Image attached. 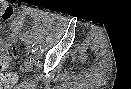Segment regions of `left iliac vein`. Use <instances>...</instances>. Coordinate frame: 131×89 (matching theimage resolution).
<instances>
[{
  "label": "left iliac vein",
  "mask_w": 131,
  "mask_h": 89,
  "mask_svg": "<svg viewBox=\"0 0 131 89\" xmlns=\"http://www.w3.org/2000/svg\"><path fill=\"white\" fill-rule=\"evenodd\" d=\"M37 56H41L42 55V53L39 51V52H37V54H36Z\"/></svg>",
  "instance_id": "obj_1"
}]
</instances>
